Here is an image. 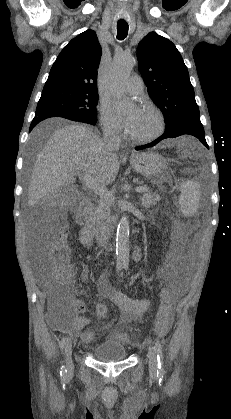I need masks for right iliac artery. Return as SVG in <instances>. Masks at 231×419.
I'll use <instances>...</instances> for the list:
<instances>
[{
	"instance_id": "82829eb1",
	"label": "right iliac artery",
	"mask_w": 231,
	"mask_h": 419,
	"mask_svg": "<svg viewBox=\"0 0 231 419\" xmlns=\"http://www.w3.org/2000/svg\"><path fill=\"white\" fill-rule=\"evenodd\" d=\"M121 269V265H117V271H119ZM66 341H67V338L66 337H63L62 339H61V341H60V343H59V345H60V348L61 349H63L64 348V346H65V344H66ZM66 372H67V370L65 369V366L64 365H62L61 366V370H60V376H61V378L64 380L65 379V377H66Z\"/></svg>"
}]
</instances>
